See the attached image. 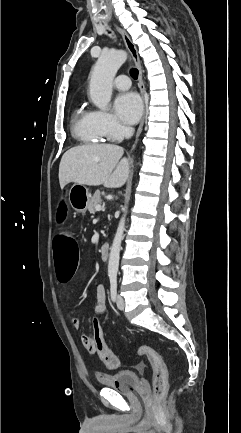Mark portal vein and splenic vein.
Masks as SVG:
<instances>
[{
  "mask_svg": "<svg viewBox=\"0 0 241 433\" xmlns=\"http://www.w3.org/2000/svg\"><path fill=\"white\" fill-rule=\"evenodd\" d=\"M101 210H102L101 205H97V206H96V211H101Z\"/></svg>",
  "mask_w": 241,
  "mask_h": 433,
  "instance_id": "1",
  "label": "portal vein and splenic vein"
}]
</instances>
